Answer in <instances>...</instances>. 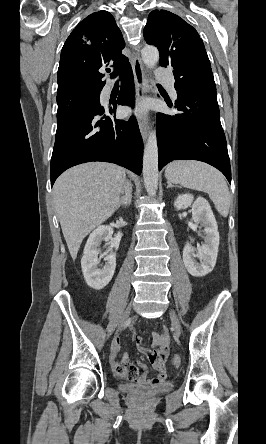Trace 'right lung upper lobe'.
Listing matches in <instances>:
<instances>
[{
  "mask_svg": "<svg viewBox=\"0 0 266 444\" xmlns=\"http://www.w3.org/2000/svg\"><path fill=\"white\" fill-rule=\"evenodd\" d=\"M125 47L114 17L107 11L95 12L71 32L61 51L58 68V95L101 91L105 85L99 69L113 62L115 78L130 63L121 53Z\"/></svg>",
  "mask_w": 266,
  "mask_h": 444,
  "instance_id": "cb5924a9",
  "label": "right lung upper lobe"
}]
</instances>
